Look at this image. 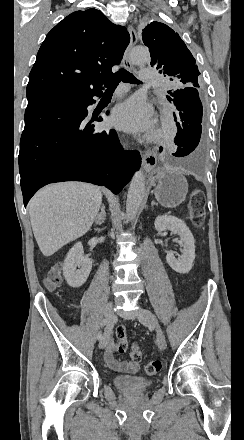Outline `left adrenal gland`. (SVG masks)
I'll use <instances>...</instances> for the list:
<instances>
[{"mask_svg":"<svg viewBox=\"0 0 244 440\" xmlns=\"http://www.w3.org/2000/svg\"><path fill=\"white\" fill-rule=\"evenodd\" d=\"M151 206H158V204H156V202H151Z\"/></svg>","mask_w":244,"mask_h":440,"instance_id":"obj_1","label":"left adrenal gland"}]
</instances>
